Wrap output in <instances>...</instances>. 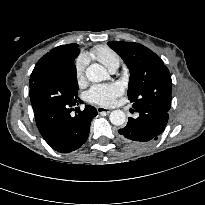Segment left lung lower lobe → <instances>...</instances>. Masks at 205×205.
<instances>
[{
  "label": "left lung lower lobe",
  "mask_w": 205,
  "mask_h": 205,
  "mask_svg": "<svg viewBox=\"0 0 205 205\" xmlns=\"http://www.w3.org/2000/svg\"><path fill=\"white\" fill-rule=\"evenodd\" d=\"M136 111L139 117L129 118L127 125L118 130L121 139L135 146H143L157 140L165 130L168 112L156 108H140Z\"/></svg>",
  "instance_id": "1"
}]
</instances>
